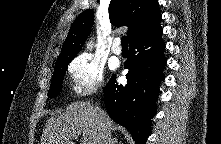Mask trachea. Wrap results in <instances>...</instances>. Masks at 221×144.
Listing matches in <instances>:
<instances>
[{"mask_svg":"<svg viewBox=\"0 0 221 144\" xmlns=\"http://www.w3.org/2000/svg\"><path fill=\"white\" fill-rule=\"evenodd\" d=\"M122 47H128V39L127 36H123L121 39Z\"/></svg>","mask_w":221,"mask_h":144,"instance_id":"obj_1","label":"trachea"}]
</instances>
